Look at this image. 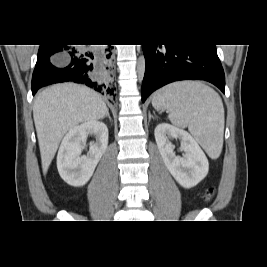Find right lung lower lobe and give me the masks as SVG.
<instances>
[{
  "mask_svg": "<svg viewBox=\"0 0 267 267\" xmlns=\"http://www.w3.org/2000/svg\"><path fill=\"white\" fill-rule=\"evenodd\" d=\"M111 49L92 50L65 45H40L32 77L33 95L41 87L61 82L87 85L103 95L114 97L107 59Z\"/></svg>",
  "mask_w": 267,
  "mask_h": 267,
  "instance_id": "98d812e1",
  "label": "right lung lower lobe"
}]
</instances>
